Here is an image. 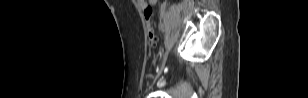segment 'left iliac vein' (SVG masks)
I'll use <instances>...</instances> for the list:
<instances>
[{
    "label": "left iliac vein",
    "instance_id": "left-iliac-vein-1",
    "mask_svg": "<svg viewBox=\"0 0 308 98\" xmlns=\"http://www.w3.org/2000/svg\"><path fill=\"white\" fill-rule=\"evenodd\" d=\"M167 57H168V53H165L163 59H162V62L160 64V67L158 68L157 70V76H159L165 66V63H166V60H167Z\"/></svg>",
    "mask_w": 308,
    "mask_h": 98
}]
</instances>
